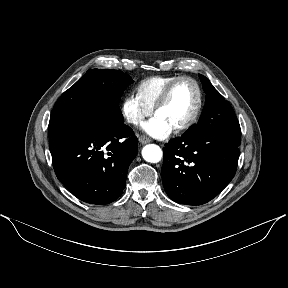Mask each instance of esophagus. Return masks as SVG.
<instances>
[{"instance_id": "34e87169", "label": "esophagus", "mask_w": 288, "mask_h": 288, "mask_svg": "<svg viewBox=\"0 0 288 288\" xmlns=\"http://www.w3.org/2000/svg\"><path fill=\"white\" fill-rule=\"evenodd\" d=\"M139 141L142 143V144H146V143H150L151 142V139L145 135H141L139 137Z\"/></svg>"}]
</instances>
